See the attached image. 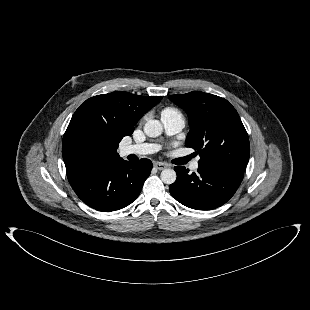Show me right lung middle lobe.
Segmentation results:
<instances>
[{
	"mask_svg": "<svg viewBox=\"0 0 310 310\" xmlns=\"http://www.w3.org/2000/svg\"><path fill=\"white\" fill-rule=\"evenodd\" d=\"M73 148L80 153H94L99 148L98 136L89 129H79L71 138Z\"/></svg>",
	"mask_w": 310,
	"mask_h": 310,
	"instance_id": "dd1d6c3e",
	"label": "right lung middle lobe"
}]
</instances>
